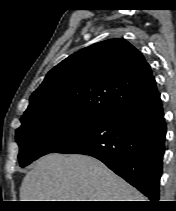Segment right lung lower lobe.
<instances>
[{"label": "right lung lower lobe", "instance_id": "1", "mask_svg": "<svg viewBox=\"0 0 176 211\" xmlns=\"http://www.w3.org/2000/svg\"><path fill=\"white\" fill-rule=\"evenodd\" d=\"M166 124L160 94L110 113L96 127L56 153L101 160L151 201L159 198Z\"/></svg>", "mask_w": 176, "mask_h": 211}]
</instances>
